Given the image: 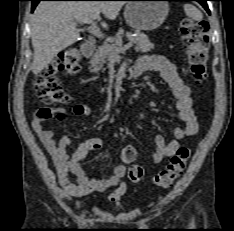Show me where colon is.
I'll return each instance as SVG.
<instances>
[{
    "mask_svg": "<svg viewBox=\"0 0 234 231\" xmlns=\"http://www.w3.org/2000/svg\"><path fill=\"white\" fill-rule=\"evenodd\" d=\"M179 31L186 49L191 76L195 81L201 82L207 73L208 24L206 21L184 18L180 22ZM79 60V50L76 47H68L35 79L36 93L44 103L61 105L70 101L69 95L58 83V76L75 74ZM190 153L188 147H180L171 157L167 167L154 175V184L161 188L170 186L183 173ZM136 157L137 150L133 146H127L122 150L121 159L124 162L132 163ZM144 176L142 166L132 165L129 168L128 178L131 182H140Z\"/></svg>",
    "mask_w": 234,
    "mask_h": 231,
    "instance_id": "5ec220e1",
    "label": "colon"
}]
</instances>
